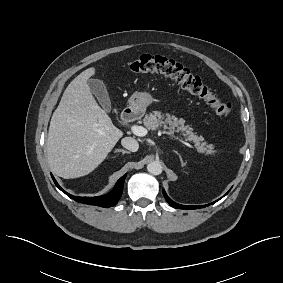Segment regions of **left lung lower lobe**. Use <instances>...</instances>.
Segmentation results:
<instances>
[{"mask_svg": "<svg viewBox=\"0 0 283 283\" xmlns=\"http://www.w3.org/2000/svg\"><path fill=\"white\" fill-rule=\"evenodd\" d=\"M163 195L165 197V199L167 200V202L174 208L177 209H186V210H190V209H197V208H204L206 206H209L217 201H214L213 203L207 204V205H201V206H186V205H180L178 203H175L174 201H172L166 194V192L163 190Z\"/></svg>", "mask_w": 283, "mask_h": 283, "instance_id": "obj_1", "label": "left lung lower lobe"}]
</instances>
